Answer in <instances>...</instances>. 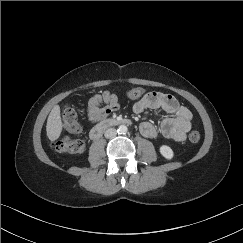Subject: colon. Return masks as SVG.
<instances>
[{
	"instance_id": "5ec220e1",
	"label": "colon",
	"mask_w": 243,
	"mask_h": 243,
	"mask_svg": "<svg viewBox=\"0 0 243 243\" xmlns=\"http://www.w3.org/2000/svg\"><path fill=\"white\" fill-rule=\"evenodd\" d=\"M143 94L141 87H135L128 91L127 96L131 100L139 99ZM62 121L64 126L75 134L81 132V121L74 109L70 107H64L62 110ZM200 133L198 131H192L189 134V140L191 142H198L200 140ZM53 147L57 151L80 153L85 148V143L82 139H71L68 136L59 138L54 142Z\"/></svg>"
}]
</instances>
